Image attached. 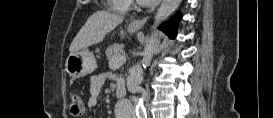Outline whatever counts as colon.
<instances>
[{"instance_id": "1", "label": "colon", "mask_w": 273, "mask_h": 118, "mask_svg": "<svg viewBox=\"0 0 273 118\" xmlns=\"http://www.w3.org/2000/svg\"><path fill=\"white\" fill-rule=\"evenodd\" d=\"M70 112L73 116H81L84 112V101L78 94H73L70 102Z\"/></svg>"}]
</instances>
